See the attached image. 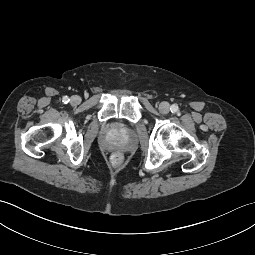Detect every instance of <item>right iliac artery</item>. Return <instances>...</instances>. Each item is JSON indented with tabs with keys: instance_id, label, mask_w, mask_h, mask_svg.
<instances>
[{
	"instance_id": "obj_1",
	"label": "right iliac artery",
	"mask_w": 255,
	"mask_h": 255,
	"mask_svg": "<svg viewBox=\"0 0 255 255\" xmlns=\"http://www.w3.org/2000/svg\"><path fill=\"white\" fill-rule=\"evenodd\" d=\"M69 97L68 96H64L63 99H62V102L67 104L69 102Z\"/></svg>"
}]
</instances>
